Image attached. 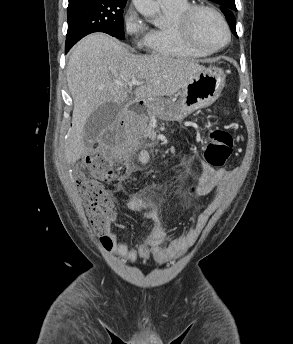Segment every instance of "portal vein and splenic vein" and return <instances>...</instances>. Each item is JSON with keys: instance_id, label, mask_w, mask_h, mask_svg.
<instances>
[{"instance_id": "1", "label": "portal vein and splenic vein", "mask_w": 293, "mask_h": 344, "mask_svg": "<svg viewBox=\"0 0 293 344\" xmlns=\"http://www.w3.org/2000/svg\"><path fill=\"white\" fill-rule=\"evenodd\" d=\"M141 84H143V82H142V81H139V80H135V79H133V80H131V81L127 82V83H126V84H124V85H128L129 87H132V86H135V85H141Z\"/></svg>"}]
</instances>
